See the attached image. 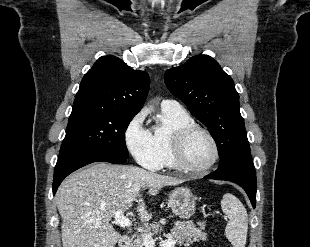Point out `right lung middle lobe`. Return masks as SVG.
I'll return each instance as SVG.
<instances>
[{
  "label": "right lung middle lobe",
  "instance_id": "dd1d6c3e",
  "mask_svg": "<svg viewBox=\"0 0 310 247\" xmlns=\"http://www.w3.org/2000/svg\"><path fill=\"white\" fill-rule=\"evenodd\" d=\"M134 116L107 110H72L59 156L87 151L128 158L125 131Z\"/></svg>",
  "mask_w": 310,
  "mask_h": 247
}]
</instances>
